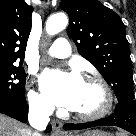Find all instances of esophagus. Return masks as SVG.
Here are the masks:
<instances>
[{"label": "esophagus", "mask_w": 136, "mask_h": 136, "mask_svg": "<svg viewBox=\"0 0 136 136\" xmlns=\"http://www.w3.org/2000/svg\"><path fill=\"white\" fill-rule=\"evenodd\" d=\"M52 128L55 133H60L62 129V123L59 120H53Z\"/></svg>", "instance_id": "obj_1"}]
</instances>
